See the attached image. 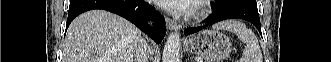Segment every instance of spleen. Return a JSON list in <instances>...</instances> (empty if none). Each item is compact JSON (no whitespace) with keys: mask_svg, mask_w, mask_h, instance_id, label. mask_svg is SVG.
Masks as SVG:
<instances>
[{"mask_svg":"<svg viewBox=\"0 0 331 62\" xmlns=\"http://www.w3.org/2000/svg\"><path fill=\"white\" fill-rule=\"evenodd\" d=\"M214 30H226L236 34L245 48L240 62H262V52L255 34L242 22L226 20L213 26Z\"/></svg>","mask_w":331,"mask_h":62,"instance_id":"obj_1","label":"spleen"}]
</instances>
